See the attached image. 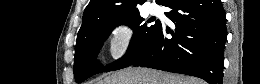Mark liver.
Segmentation results:
<instances>
[{
	"label": "liver",
	"instance_id": "liver-1",
	"mask_svg": "<svg viewBox=\"0 0 260 84\" xmlns=\"http://www.w3.org/2000/svg\"><path fill=\"white\" fill-rule=\"evenodd\" d=\"M96 84H205V82L195 77L140 67L120 70Z\"/></svg>",
	"mask_w": 260,
	"mask_h": 84
}]
</instances>
